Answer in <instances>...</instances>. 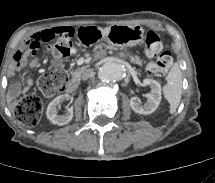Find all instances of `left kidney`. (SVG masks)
Segmentation results:
<instances>
[{"instance_id": "1", "label": "left kidney", "mask_w": 215, "mask_h": 183, "mask_svg": "<svg viewBox=\"0 0 215 183\" xmlns=\"http://www.w3.org/2000/svg\"><path fill=\"white\" fill-rule=\"evenodd\" d=\"M143 85L149 86L151 89V92L146 95L147 103L142 105L139 98L132 97L130 99V107L136 113L148 115L154 112L159 106L161 101V85L157 81L148 78L143 80Z\"/></svg>"}]
</instances>
